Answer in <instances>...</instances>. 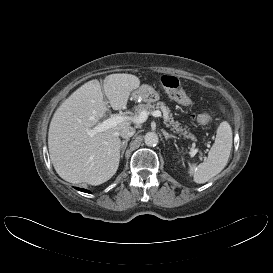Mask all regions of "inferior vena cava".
<instances>
[{
  "label": "inferior vena cava",
  "instance_id": "inferior-vena-cava-1",
  "mask_svg": "<svg viewBox=\"0 0 273 273\" xmlns=\"http://www.w3.org/2000/svg\"><path fill=\"white\" fill-rule=\"evenodd\" d=\"M135 134V129L133 127H124L119 132L118 135L122 138L129 139Z\"/></svg>",
  "mask_w": 273,
  "mask_h": 273
}]
</instances>
